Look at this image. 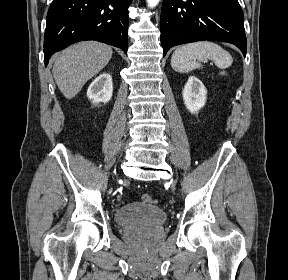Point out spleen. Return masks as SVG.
Listing matches in <instances>:
<instances>
[{
	"label": "spleen",
	"instance_id": "obj_1",
	"mask_svg": "<svg viewBox=\"0 0 288 280\" xmlns=\"http://www.w3.org/2000/svg\"><path fill=\"white\" fill-rule=\"evenodd\" d=\"M210 59L218 68L225 69L232 65L233 58L220 45L209 42H195L178 47L172 54L171 66L180 73H188L200 68L201 61Z\"/></svg>",
	"mask_w": 288,
	"mask_h": 280
}]
</instances>
